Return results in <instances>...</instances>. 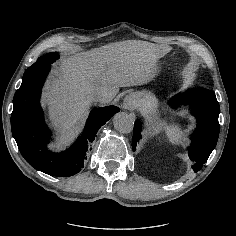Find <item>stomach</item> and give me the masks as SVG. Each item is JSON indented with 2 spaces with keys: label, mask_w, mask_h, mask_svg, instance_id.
Returning a JSON list of instances; mask_svg holds the SVG:
<instances>
[{
  "label": "stomach",
  "mask_w": 236,
  "mask_h": 236,
  "mask_svg": "<svg viewBox=\"0 0 236 236\" xmlns=\"http://www.w3.org/2000/svg\"><path fill=\"white\" fill-rule=\"evenodd\" d=\"M141 104L146 107H153L156 104V100L151 92L143 91L140 93Z\"/></svg>",
  "instance_id": "stomach-1"
}]
</instances>
